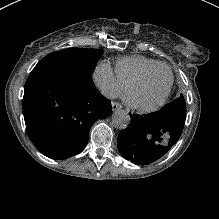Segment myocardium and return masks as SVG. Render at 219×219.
Returning <instances> with one entry per match:
<instances>
[{"mask_svg": "<svg viewBox=\"0 0 219 219\" xmlns=\"http://www.w3.org/2000/svg\"><path fill=\"white\" fill-rule=\"evenodd\" d=\"M161 68L168 69L170 76H171L169 86L166 89V91L164 92V94L162 95V97L159 100H157L155 103L150 104V105H142V104L134 102L131 98L132 90L141 82L154 76ZM173 84H174V73H173L172 69L167 65L160 64L155 69H151V70L143 72L142 74H140L136 79H134L130 83V85L128 86V89H127V98H128L129 104L133 108H135L139 111H143V112L155 110V109L159 108L167 100V98L169 97V94L171 92V89L173 87Z\"/></svg>", "mask_w": 219, "mask_h": 219, "instance_id": "obj_1", "label": "myocardium"}]
</instances>
